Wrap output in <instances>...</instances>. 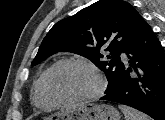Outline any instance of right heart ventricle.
Returning <instances> with one entry per match:
<instances>
[{
    "mask_svg": "<svg viewBox=\"0 0 165 120\" xmlns=\"http://www.w3.org/2000/svg\"><path fill=\"white\" fill-rule=\"evenodd\" d=\"M48 69L44 70L42 74L39 76L37 81L34 84L33 89V101L34 103L41 108H52L56 105V103L50 98L48 93L46 92L44 85V78Z\"/></svg>",
    "mask_w": 165,
    "mask_h": 120,
    "instance_id": "e07e8e85",
    "label": "right heart ventricle"
}]
</instances>
